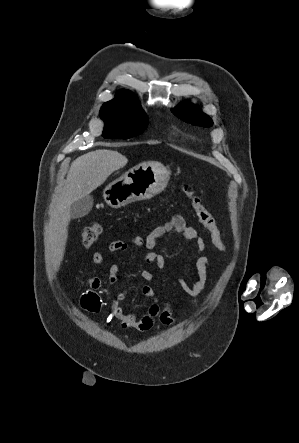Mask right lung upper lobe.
<instances>
[{
  "label": "right lung upper lobe",
  "mask_w": 299,
  "mask_h": 443,
  "mask_svg": "<svg viewBox=\"0 0 299 443\" xmlns=\"http://www.w3.org/2000/svg\"><path fill=\"white\" fill-rule=\"evenodd\" d=\"M107 103L121 104V105H125V106L141 108L140 103L137 100V97L134 94H132L130 91H126V90H121L116 95V98H114L113 100H111L109 102H106L105 104H107Z\"/></svg>",
  "instance_id": "obj_1"
}]
</instances>
